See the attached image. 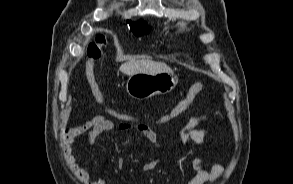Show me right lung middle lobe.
<instances>
[{
  "label": "right lung middle lobe",
  "mask_w": 293,
  "mask_h": 184,
  "mask_svg": "<svg viewBox=\"0 0 293 184\" xmlns=\"http://www.w3.org/2000/svg\"><path fill=\"white\" fill-rule=\"evenodd\" d=\"M131 31L136 35V36H141L143 34H147L149 32V28L146 26H141V25H136V24H129Z\"/></svg>",
  "instance_id": "dd1d6c3e"
}]
</instances>
